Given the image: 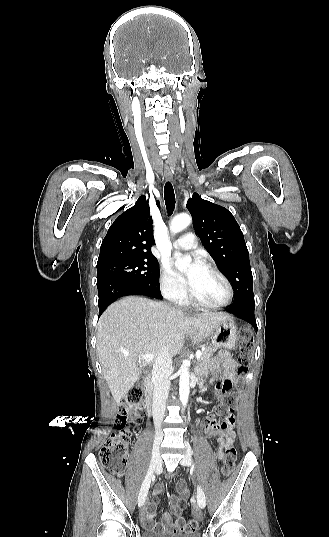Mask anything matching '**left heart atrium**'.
Masks as SVG:
<instances>
[{"label": "left heart atrium", "mask_w": 329, "mask_h": 537, "mask_svg": "<svg viewBox=\"0 0 329 537\" xmlns=\"http://www.w3.org/2000/svg\"><path fill=\"white\" fill-rule=\"evenodd\" d=\"M177 260L174 259L173 260V263H176ZM203 269V262L201 261L200 257L195 255L194 256V261H193V264L191 266V269L190 271L188 272V274L186 275V283L188 284V286L190 288H192L196 282V279L199 275V273L201 272V270Z\"/></svg>", "instance_id": "1"}]
</instances>
